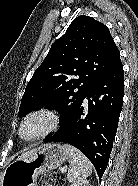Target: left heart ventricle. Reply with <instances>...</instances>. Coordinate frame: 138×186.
<instances>
[{
  "label": "left heart ventricle",
  "instance_id": "1",
  "mask_svg": "<svg viewBox=\"0 0 138 186\" xmlns=\"http://www.w3.org/2000/svg\"><path fill=\"white\" fill-rule=\"evenodd\" d=\"M48 118L46 116H36L28 121L23 128L22 134L25 138L32 137L42 132L48 126Z\"/></svg>",
  "mask_w": 138,
  "mask_h": 186
}]
</instances>
